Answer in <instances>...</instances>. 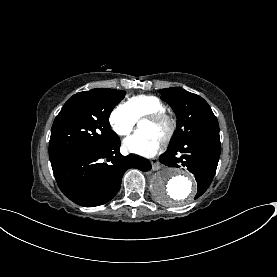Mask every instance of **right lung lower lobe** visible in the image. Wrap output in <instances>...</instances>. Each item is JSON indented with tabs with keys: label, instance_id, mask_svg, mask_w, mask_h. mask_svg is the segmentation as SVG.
Segmentation results:
<instances>
[{
	"label": "right lung lower lobe",
	"instance_id": "98d812e1",
	"mask_svg": "<svg viewBox=\"0 0 277 277\" xmlns=\"http://www.w3.org/2000/svg\"><path fill=\"white\" fill-rule=\"evenodd\" d=\"M120 139L99 148H80L50 158L63 194L78 205L94 207L110 201L119 191L129 168L149 171L147 159L119 151Z\"/></svg>",
	"mask_w": 277,
	"mask_h": 277
}]
</instances>
